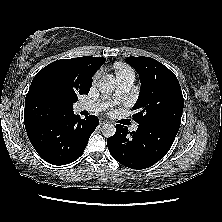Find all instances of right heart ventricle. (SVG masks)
Masks as SVG:
<instances>
[{
	"label": "right heart ventricle",
	"instance_id": "1",
	"mask_svg": "<svg viewBox=\"0 0 222 222\" xmlns=\"http://www.w3.org/2000/svg\"><path fill=\"white\" fill-rule=\"evenodd\" d=\"M115 77L117 81L124 78L134 79V71L129 66L117 64L115 66Z\"/></svg>",
	"mask_w": 222,
	"mask_h": 222
}]
</instances>
